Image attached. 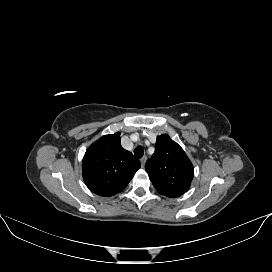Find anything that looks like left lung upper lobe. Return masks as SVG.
Listing matches in <instances>:
<instances>
[{
    "label": "left lung upper lobe",
    "mask_w": 272,
    "mask_h": 272,
    "mask_svg": "<svg viewBox=\"0 0 272 272\" xmlns=\"http://www.w3.org/2000/svg\"><path fill=\"white\" fill-rule=\"evenodd\" d=\"M145 170L155 189L170 198L184 194L194 174L183 149L166 134L157 137L155 152L147 160Z\"/></svg>",
    "instance_id": "5c2ea615"
}]
</instances>
